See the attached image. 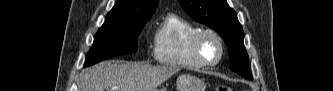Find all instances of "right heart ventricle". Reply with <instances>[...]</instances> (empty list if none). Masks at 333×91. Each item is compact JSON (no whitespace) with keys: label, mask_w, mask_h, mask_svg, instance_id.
<instances>
[{"label":"right heart ventricle","mask_w":333,"mask_h":91,"mask_svg":"<svg viewBox=\"0 0 333 91\" xmlns=\"http://www.w3.org/2000/svg\"><path fill=\"white\" fill-rule=\"evenodd\" d=\"M199 30L198 26L177 14L167 15L154 35V59L177 69L202 68L192 51V39Z\"/></svg>","instance_id":"right-heart-ventricle-1"}]
</instances>
